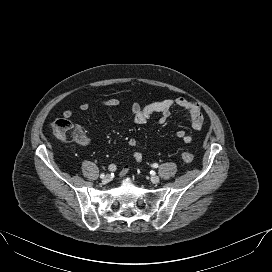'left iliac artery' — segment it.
<instances>
[{"label": "left iliac artery", "instance_id": "44dca946", "mask_svg": "<svg viewBox=\"0 0 272 272\" xmlns=\"http://www.w3.org/2000/svg\"><path fill=\"white\" fill-rule=\"evenodd\" d=\"M152 167L157 168V167H158V164H157V163H154V164L152 165Z\"/></svg>", "mask_w": 272, "mask_h": 272}]
</instances>
